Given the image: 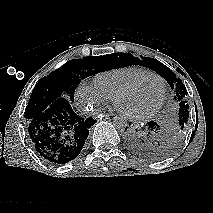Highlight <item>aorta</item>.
I'll use <instances>...</instances> for the list:
<instances>
[{
    "mask_svg": "<svg viewBox=\"0 0 213 213\" xmlns=\"http://www.w3.org/2000/svg\"><path fill=\"white\" fill-rule=\"evenodd\" d=\"M113 125L114 127L119 130L120 132H124L128 126L127 120L122 115H117L113 118Z\"/></svg>",
    "mask_w": 213,
    "mask_h": 213,
    "instance_id": "aorta-1",
    "label": "aorta"
}]
</instances>
